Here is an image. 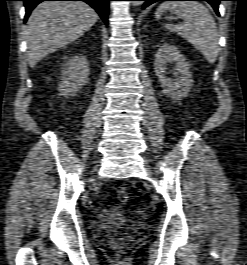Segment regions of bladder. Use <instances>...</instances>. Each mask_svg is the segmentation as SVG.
I'll return each instance as SVG.
<instances>
[{
    "instance_id": "bladder-1",
    "label": "bladder",
    "mask_w": 247,
    "mask_h": 265,
    "mask_svg": "<svg viewBox=\"0 0 247 265\" xmlns=\"http://www.w3.org/2000/svg\"><path fill=\"white\" fill-rule=\"evenodd\" d=\"M131 220L132 218L129 216L121 214L118 211L111 210L107 213L100 230L102 232L114 231L129 223Z\"/></svg>"
}]
</instances>
